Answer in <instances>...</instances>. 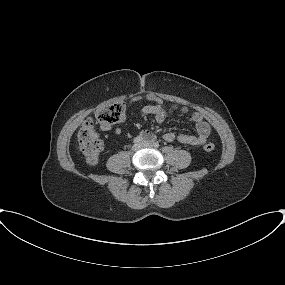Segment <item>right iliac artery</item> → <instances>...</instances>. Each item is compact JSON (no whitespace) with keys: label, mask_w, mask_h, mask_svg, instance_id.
Returning a JSON list of instances; mask_svg holds the SVG:
<instances>
[{"label":"right iliac artery","mask_w":285,"mask_h":285,"mask_svg":"<svg viewBox=\"0 0 285 285\" xmlns=\"http://www.w3.org/2000/svg\"><path fill=\"white\" fill-rule=\"evenodd\" d=\"M141 141H142V139H141L140 137H136L133 142H134L135 144H138V143H140Z\"/></svg>","instance_id":"right-iliac-artery-1"}]
</instances>
